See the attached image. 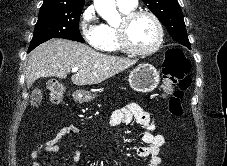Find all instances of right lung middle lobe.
<instances>
[{
	"label": "right lung middle lobe",
	"instance_id": "right-lung-middle-lobe-1",
	"mask_svg": "<svg viewBox=\"0 0 227 166\" xmlns=\"http://www.w3.org/2000/svg\"><path fill=\"white\" fill-rule=\"evenodd\" d=\"M82 9L41 8L29 51L51 38L84 43L78 23Z\"/></svg>",
	"mask_w": 227,
	"mask_h": 166
}]
</instances>
